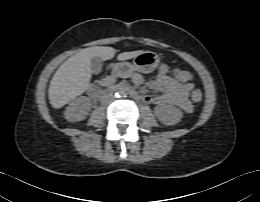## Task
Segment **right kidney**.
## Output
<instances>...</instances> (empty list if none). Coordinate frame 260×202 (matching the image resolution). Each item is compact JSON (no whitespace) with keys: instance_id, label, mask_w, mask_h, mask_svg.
<instances>
[{"instance_id":"ca27d5eb","label":"right kidney","mask_w":260,"mask_h":202,"mask_svg":"<svg viewBox=\"0 0 260 202\" xmlns=\"http://www.w3.org/2000/svg\"><path fill=\"white\" fill-rule=\"evenodd\" d=\"M90 109V99L85 96H81L69 104L64 112V115L69 122H79L87 117Z\"/></svg>"}]
</instances>
